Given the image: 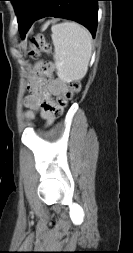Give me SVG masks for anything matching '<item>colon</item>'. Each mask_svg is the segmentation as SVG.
Masks as SVG:
<instances>
[{
	"instance_id": "5ec220e1",
	"label": "colon",
	"mask_w": 133,
	"mask_h": 253,
	"mask_svg": "<svg viewBox=\"0 0 133 253\" xmlns=\"http://www.w3.org/2000/svg\"><path fill=\"white\" fill-rule=\"evenodd\" d=\"M51 46L43 36H36L32 38L28 53L31 57H37L41 52L50 53ZM68 87L64 95H62L56 102L53 111L59 115L63 109L68 105L69 101L74 95L78 94L81 90V84L73 78H68Z\"/></svg>"
}]
</instances>
